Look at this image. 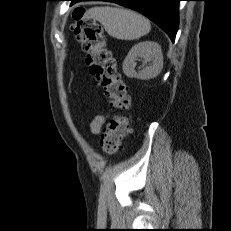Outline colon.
I'll use <instances>...</instances> for the list:
<instances>
[{"label":"colon","instance_id":"1","mask_svg":"<svg viewBox=\"0 0 231 231\" xmlns=\"http://www.w3.org/2000/svg\"><path fill=\"white\" fill-rule=\"evenodd\" d=\"M73 17L74 34L87 54L86 63L90 73L116 112L100 138L102 151L113 154L118 151L122 139L129 131V119L123 112L129 110L131 99L117 70L116 61L108 48V39L103 27L82 7L74 9Z\"/></svg>","mask_w":231,"mask_h":231}]
</instances>
